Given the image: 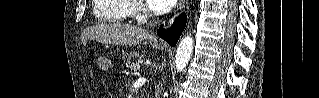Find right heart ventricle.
<instances>
[{
	"mask_svg": "<svg viewBox=\"0 0 319 98\" xmlns=\"http://www.w3.org/2000/svg\"><path fill=\"white\" fill-rule=\"evenodd\" d=\"M93 13L99 22H122L131 16L133 6L126 0H95Z\"/></svg>",
	"mask_w": 319,
	"mask_h": 98,
	"instance_id": "e07e8e85",
	"label": "right heart ventricle"
}]
</instances>
